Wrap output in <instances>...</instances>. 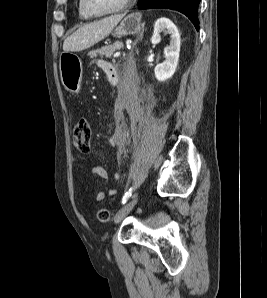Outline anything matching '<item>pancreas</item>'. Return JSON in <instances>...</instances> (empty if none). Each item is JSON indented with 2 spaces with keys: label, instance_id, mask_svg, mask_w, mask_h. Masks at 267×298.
Here are the masks:
<instances>
[{
  "label": "pancreas",
  "instance_id": "pancreas-1",
  "mask_svg": "<svg viewBox=\"0 0 267 298\" xmlns=\"http://www.w3.org/2000/svg\"><path fill=\"white\" fill-rule=\"evenodd\" d=\"M123 43L121 41H116L113 44L103 46L99 49H96L94 51H91L89 55L91 57H96L97 55H100L101 57H110L113 55L114 51L117 50L118 48L122 47Z\"/></svg>",
  "mask_w": 267,
  "mask_h": 298
}]
</instances>
